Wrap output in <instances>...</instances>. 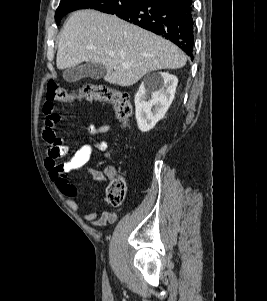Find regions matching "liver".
<instances>
[{"mask_svg":"<svg viewBox=\"0 0 267 301\" xmlns=\"http://www.w3.org/2000/svg\"><path fill=\"white\" fill-rule=\"evenodd\" d=\"M83 62L103 64L106 82L127 87L151 71L182 68L187 57L170 41L115 15L79 10L63 27L56 65L63 70Z\"/></svg>","mask_w":267,"mask_h":301,"instance_id":"liver-1","label":"liver"}]
</instances>
